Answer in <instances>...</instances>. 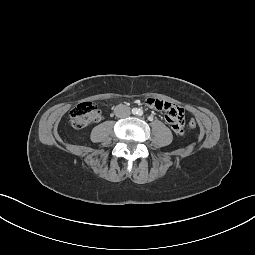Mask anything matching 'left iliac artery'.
<instances>
[{"mask_svg":"<svg viewBox=\"0 0 255 255\" xmlns=\"http://www.w3.org/2000/svg\"><path fill=\"white\" fill-rule=\"evenodd\" d=\"M137 114H138L139 116H142V115H143V111L139 109L138 112H137Z\"/></svg>","mask_w":255,"mask_h":255,"instance_id":"obj_1","label":"left iliac artery"}]
</instances>
